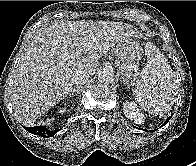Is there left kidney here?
<instances>
[{
	"instance_id": "1",
	"label": "left kidney",
	"mask_w": 196,
	"mask_h": 166,
	"mask_svg": "<svg viewBox=\"0 0 196 166\" xmlns=\"http://www.w3.org/2000/svg\"><path fill=\"white\" fill-rule=\"evenodd\" d=\"M123 111L125 116L134 121L136 124L144 123V116L138 109L137 105L134 102H125L123 104Z\"/></svg>"
}]
</instances>
